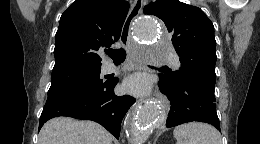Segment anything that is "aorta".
Segmentation results:
<instances>
[{
  "label": "aorta",
  "mask_w": 260,
  "mask_h": 144,
  "mask_svg": "<svg viewBox=\"0 0 260 144\" xmlns=\"http://www.w3.org/2000/svg\"><path fill=\"white\" fill-rule=\"evenodd\" d=\"M135 33L139 40L156 46L160 43L167 45L162 37L157 22L152 17H143L135 24ZM163 53V49H147L141 51L139 56L144 61L156 60ZM157 101L149 100L139 103L131 111L126 120L127 131L131 144H144L152 129L160 125L164 119Z\"/></svg>",
  "instance_id": "obj_1"
}]
</instances>
